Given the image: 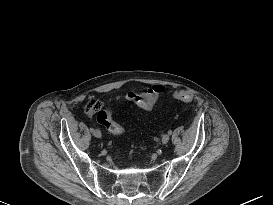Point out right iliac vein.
I'll return each mask as SVG.
<instances>
[{"label": "right iliac vein", "mask_w": 273, "mask_h": 205, "mask_svg": "<svg viewBox=\"0 0 273 205\" xmlns=\"http://www.w3.org/2000/svg\"><path fill=\"white\" fill-rule=\"evenodd\" d=\"M93 135L97 138H101V132L98 129L93 131Z\"/></svg>", "instance_id": "obj_1"}]
</instances>
